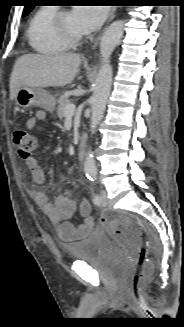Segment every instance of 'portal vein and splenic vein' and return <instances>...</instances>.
<instances>
[{
    "label": "portal vein and splenic vein",
    "mask_w": 184,
    "mask_h": 327,
    "mask_svg": "<svg viewBox=\"0 0 184 327\" xmlns=\"http://www.w3.org/2000/svg\"><path fill=\"white\" fill-rule=\"evenodd\" d=\"M74 112H75V105L70 103L68 104L66 107H65V116L67 117H71L74 115Z\"/></svg>",
    "instance_id": "18ae733b"
}]
</instances>
